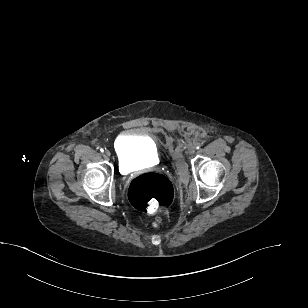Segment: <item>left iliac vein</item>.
Returning <instances> with one entry per match:
<instances>
[{"label": "left iliac vein", "mask_w": 308, "mask_h": 308, "mask_svg": "<svg viewBox=\"0 0 308 308\" xmlns=\"http://www.w3.org/2000/svg\"><path fill=\"white\" fill-rule=\"evenodd\" d=\"M187 150L189 154H193L196 150V146L192 143H189L187 146Z\"/></svg>", "instance_id": "obj_1"}]
</instances>
